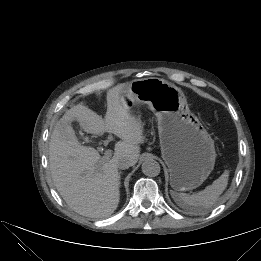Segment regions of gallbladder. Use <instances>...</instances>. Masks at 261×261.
Masks as SVG:
<instances>
[{
  "label": "gallbladder",
  "mask_w": 261,
  "mask_h": 261,
  "mask_svg": "<svg viewBox=\"0 0 261 261\" xmlns=\"http://www.w3.org/2000/svg\"><path fill=\"white\" fill-rule=\"evenodd\" d=\"M69 135L75 137V132H74V130L72 128H71V131L69 132Z\"/></svg>",
  "instance_id": "1"
}]
</instances>
